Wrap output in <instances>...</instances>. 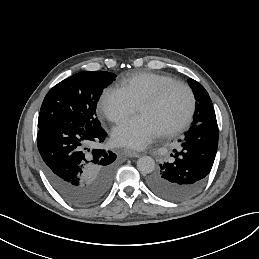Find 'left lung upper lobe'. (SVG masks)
<instances>
[{
    "mask_svg": "<svg viewBox=\"0 0 259 259\" xmlns=\"http://www.w3.org/2000/svg\"><path fill=\"white\" fill-rule=\"evenodd\" d=\"M196 99L193 125L203 122H215L216 115L212 101L205 88L193 79L188 80Z\"/></svg>",
    "mask_w": 259,
    "mask_h": 259,
    "instance_id": "5c2ea615",
    "label": "left lung upper lobe"
}]
</instances>
